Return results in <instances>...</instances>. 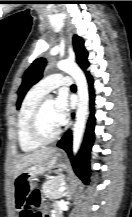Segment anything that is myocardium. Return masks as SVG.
Returning a JSON list of instances; mask_svg holds the SVG:
<instances>
[{
    "label": "myocardium",
    "instance_id": "1",
    "mask_svg": "<svg viewBox=\"0 0 132 217\" xmlns=\"http://www.w3.org/2000/svg\"><path fill=\"white\" fill-rule=\"evenodd\" d=\"M50 99H51L50 97L42 98L40 102L37 104V106L35 107L30 118L29 128H30L31 137L41 145H46L54 142L55 140L58 139V137L61 134L60 128H58L57 131L51 136H46L41 129L42 113L46 103Z\"/></svg>",
    "mask_w": 132,
    "mask_h": 217
}]
</instances>
